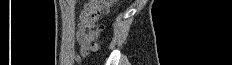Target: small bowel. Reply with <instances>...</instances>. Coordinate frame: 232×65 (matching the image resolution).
<instances>
[{
  "mask_svg": "<svg viewBox=\"0 0 232 65\" xmlns=\"http://www.w3.org/2000/svg\"><path fill=\"white\" fill-rule=\"evenodd\" d=\"M76 37L80 46L81 56H84L89 52V42L87 32L82 23L79 25V31Z\"/></svg>",
  "mask_w": 232,
  "mask_h": 65,
  "instance_id": "1",
  "label": "small bowel"
}]
</instances>
